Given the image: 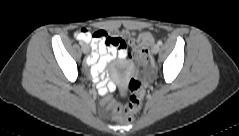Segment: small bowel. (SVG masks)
<instances>
[{"mask_svg":"<svg viewBox=\"0 0 239 136\" xmlns=\"http://www.w3.org/2000/svg\"><path fill=\"white\" fill-rule=\"evenodd\" d=\"M97 31L94 33H89L88 38H82L77 34V38L86 43H90L93 48V53L88 58V64L91 65V74L95 79H98L105 68L107 67L108 63L118 55L119 57L125 59L127 57L128 49L127 46L124 45L122 47H112L108 46L105 42L106 36L103 35L98 37ZM124 37L130 35L128 31H124L122 33ZM153 40V38H152ZM100 88L104 92H111L114 89V85L112 82L104 81L101 83ZM103 104L108 108L114 107V101L110 96H106L103 99Z\"/></svg>","mask_w":239,"mask_h":136,"instance_id":"c3829d8e","label":"small bowel"}]
</instances>
